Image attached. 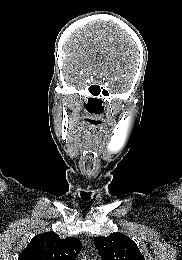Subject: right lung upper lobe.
<instances>
[{"label": "right lung upper lobe", "instance_id": "1", "mask_svg": "<svg viewBox=\"0 0 182 260\" xmlns=\"http://www.w3.org/2000/svg\"><path fill=\"white\" fill-rule=\"evenodd\" d=\"M82 248L80 240L45 232L32 238L18 260H76Z\"/></svg>", "mask_w": 182, "mask_h": 260}]
</instances>
